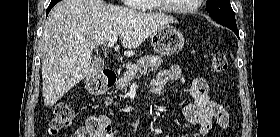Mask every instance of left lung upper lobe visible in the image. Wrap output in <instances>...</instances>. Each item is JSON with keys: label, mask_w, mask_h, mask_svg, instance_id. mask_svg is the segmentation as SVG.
<instances>
[{"label": "left lung upper lobe", "mask_w": 280, "mask_h": 137, "mask_svg": "<svg viewBox=\"0 0 280 137\" xmlns=\"http://www.w3.org/2000/svg\"><path fill=\"white\" fill-rule=\"evenodd\" d=\"M207 12L218 23L226 27H237L229 0H207Z\"/></svg>", "instance_id": "5c2ea615"}]
</instances>
